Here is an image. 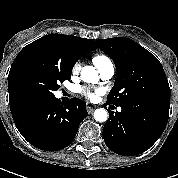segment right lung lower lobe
I'll list each match as a JSON object with an SVG mask.
<instances>
[{
	"label": "right lung lower lobe",
	"instance_id": "1",
	"mask_svg": "<svg viewBox=\"0 0 178 178\" xmlns=\"http://www.w3.org/2000/svg\"><path fill=\"white\" fill-rule=\"evenodd\" d=\"M15 125L33 146L45 151L67 147L88 115L86 103L72 98L61 103L55 96L17 95L9 97Z\"/></svg>",
	"mask_w": 178,
	"mask_h": 178
}]
</instances>
